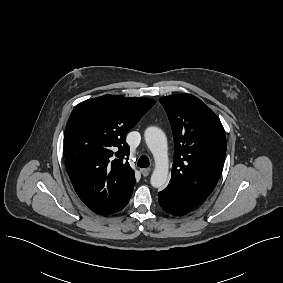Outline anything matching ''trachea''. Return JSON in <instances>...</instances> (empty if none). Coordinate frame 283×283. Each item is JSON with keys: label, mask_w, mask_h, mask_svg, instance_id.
Listing matches in <instances>:
<instances>
[{"label": "trachea", "mask_w": 283, "mask_h": 283, "mask_svg": "<svg viewBox=\"0 0 283 283\" xmlns=\"http://www.w3.org/2000/svg\"><path fill=\"white\" fill-rule=\"evenodd\" d=\"M149 159L147 156L143 155L139 158L137 166L141 167V168H146L149 166Z\"/></svg>", "instance_id": "1"}]
</instances>
